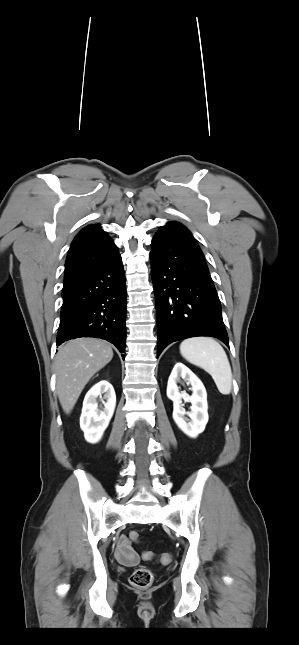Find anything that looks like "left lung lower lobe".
I'll return each instance as SVG.
<instances>
[{"label": "left lung lower lobe", "instance_id": "left-lung-lower-lobe-1", "mask_svg": "<svg viewBox=\"0 0 299 645\" xmlns=\"http://www.w3.org/2000/svg\"><path fill=\"white\" fill-rule=\"evenodd\" d=\"M151 245L157 356L172 342L196 336L216 337L229 346L218 294L190 231L178 222H169L158 230Z\"/></svg>", "mask_w": 299, "mask_h": 645}]
</instances>
